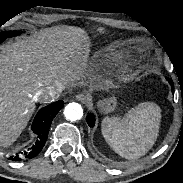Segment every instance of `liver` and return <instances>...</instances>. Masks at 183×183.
<instances>
[{"label": "liver", "instance_id": "liver-1", "mask_svg": "<svg viewBox=\"0 0 183 183\" xmlns=\"http://www.w3.org/2000/svg\"><path fill=\"white\" fill-rule=\"evenodd\" d=\"M81 28L46 29L8 44L0 54V145H11L35 110L36 93L49 85L93 87L101 64L89 57Z\"/></svg>", "mask_w": 183, "mask_h": 183}]
</instances>
